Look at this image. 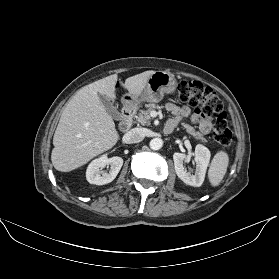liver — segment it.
<instances>
[{
  "label": "liver",
  "instance_id": "liver-1",
  "mask_svg": "<svg viewBox=\"0 0 279 279\" xmlns=\"http://www.w3.org/2000/svg\"><path fill=\"white\" fill-rule=\"evenodd\" d=\"M154 72L127 78L125 89L134 98L139 97ZM117 78L116 74L110 75L81 88L66 105L53 137L51 161L56 170L77 169L116 145L118 131L98 94L114 101Z\"/></svg>",
  "mask_w": 279,
  "mask_h": 279
}]
</instances>
